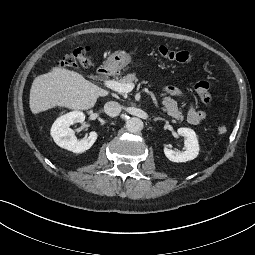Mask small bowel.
Wrapping results in <instances>:
<instances>
[{"mask_svg": "<svg viewBox=\"0 0 255 255\" xmlns=\"http://www.w3.org/2000/svg\"><path fill=\"white\" fill-rule=\"evenodd\" d=\"M163 92L170 96L184 98V94L173 86L166 87ZM206 118L207 114L204 111L195 108L192 104L188 106L187 120L190 124L197 125L204 121Z\"/></svg>", "mask_w": 255, "mask_h": 255, "instance_id": "1", "label": "small bowel"}]
</instances>
